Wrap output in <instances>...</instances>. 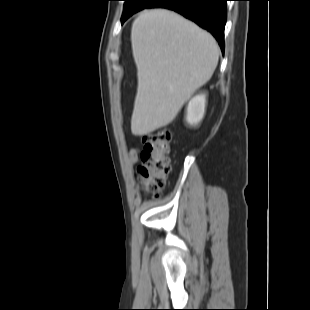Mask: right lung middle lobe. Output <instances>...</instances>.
Returning a JSON list of instances; mask_svg holds the SVG:
<instances>
[{
  "label": "right lung middle lobe",
  "instance_id": "obj_1",
  "mask_svg": "<svg viewBox=\"0 0 310 310\" xmlns=\"http://www.w3.org/2000/svg\"><path fill=\"white\" fill-rule=\"evenodd\" d=\"M157 0H125L122 19L130 17L135 12L147 8Z\"/></svg>",
  "mask_w": 310,
  "mask_h": 310
}]
</instances>
